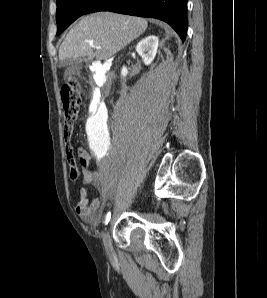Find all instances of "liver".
Instances as JSON below:
<instances>
[{"mask_svg": "<svg viewBox=\"0 0 267 298\" xmlns=\"http://www.w3.org/2000/svg\"><path fill=\"white\" fill-rule=\"evenodd\" d=\"M146 19L111 12L83 17L69 31L59 48V59L89 62L105 60L138 38L147 29ZM91 45L100 46L94 51Z\"/></svg>", "mask_w": 267, "mask_h": 298, "instance_id": "obj_1", "label": "liver"}]
</instances>
